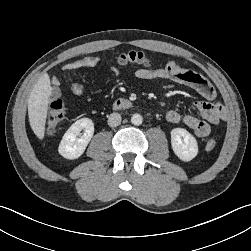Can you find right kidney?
Returning <instances> with one entry per match:
<instances>
[{
    "label": "right kidney",
    "mask_w": 251,
    "mask_h": 251,
    "mask_svg": "<svg viewBox=\"0 0 251 251\" xmlns=\"http://www.w3.org/2000/svg\"><path fill=\"white\" fill-rule=\"evenodd\" d=\"M84 133L81 134V131ZM94 134V123L89 118H81L65 132L59 144L58 152L66 159L79 158L85 151Z\"/></svg>",
    "instance_id": "right-kidney-1"
}]
</instances>
